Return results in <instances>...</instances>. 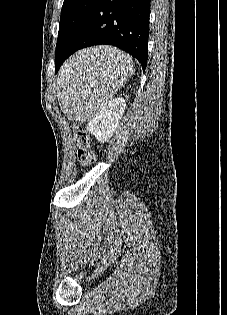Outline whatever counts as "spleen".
<instances>
[{
    "instance_id": "spleen-1",
    "label": "spleen",
    "mask_w": 227,
    "mask_h": 315,
    "mask_svg": "<svg viewBox=\"0 0 227 315\" xmlns=\"http://www.w3.org/2000/svg\"><path fill=\"white\" fill-rule=\"evenodd\" d=\"M132 71V58L114 47L79 51L64 64L57 80L62 111L70 119L91 120Z\"/></svg>"
}]
</instances>
